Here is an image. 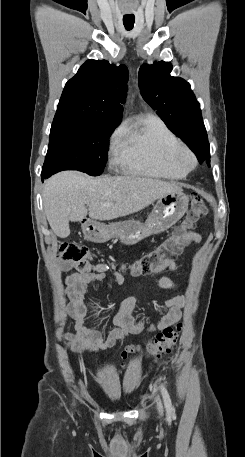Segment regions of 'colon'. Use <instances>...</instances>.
<instances>
[{
    "instance_id": "colon-1",
    "label": "colon",
    "mask_w": 245,
    "mask_h": 457,
    "mask_svg": "<svg viewBox=\"0 0 245 457\" xmlns=\"http://www.w3.org/2000/svg\"><path fill=\"white\" fill-rule=\"evenodd\" d=\"M207 213V206L203 198L194 194L191 199V207L183 226L176 229L171 236L165 239L157 248L139 257L127 271L134 275L152 273L161 263L177 256L185 245L186 235L191 228L200 221ZM58 256L71 263L79 271H88L100 267L91 264L92 255L90 250L83 244L74 241H65L58 247ZM182 324L177 323L169 326L155 335L145 346L150 355L161 358L171 353L176 346L181 332ZM141 350L140 346L129 345L122 352L123 362Z\"/></svg>"
}]
</instances>
